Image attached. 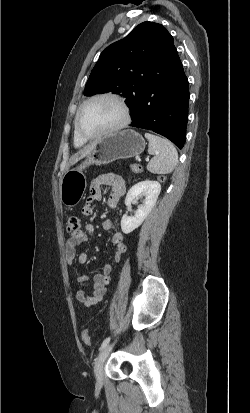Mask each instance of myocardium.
<instances>
[{
	"label": "myocardium",
	"mask_w": 250,
	"mask_h": 413,
	"mask_svg": "<svg viewBox=\"0 0 250 413\" xmlns=\"http://www.w3.org/2000/svg\"><path fill=\"white\" fill-rule=\"evenodd\" d=\"M100 99H109L112 100L114 102H116L118 104V106L121 108L122 111V119L121 121L115 125L112 128H109L105 131H102L100 133L97 134H93V135H87L85 133H83L80 129V125H79V119H80V115L83 111V109L91 102L96 101V100H100ZM131 120V115H130V109L127 105V103L125 102V100L118 94L116 93H112V92H103V93H98L95 94L91 97H89L88 99H86L79 107V109L77 110L76 116H75V120H74V126H75V132L77 133V135L85 140H95V139H100L115 133L120 132L121 130H123L124 128H126Z\"/></svg>",
	"instance_id": "obj_1"
}]
</instances>
